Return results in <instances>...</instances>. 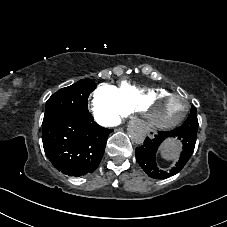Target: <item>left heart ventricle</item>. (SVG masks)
Segmentation results:
<instances>
[{
  "instance_id": "obj_1",
  "label": "left heart ventricle",
  "mask_w": 227,
  "mask_h": 227,
  "mask_svg": "<svg viewBox=\"0 0 227 227\" xmlns=\"http://www.w3.org/2000/svg\"><path fill=\"white\" fill-rule=\"evenodd\" d=\"M185 102L180 97L163 98L150 109L154 119L159 122H169L179 117L184 109Z\"/></svg>"
}]
</instances>
